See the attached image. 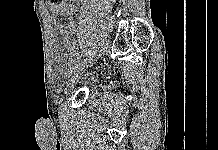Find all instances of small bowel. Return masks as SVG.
<instances>
[{"instance_id":"c3829d8e","label":"small bowel","mask_w":218,"mask_h":150,"mask_svg":"<svg viewBox=\"0 0 218 150\" xmlns=\"http://www.w3.org/2000/svg\"><path fill=\"white\" fill-rule=\"evenodd\" d=\"M80 0H61L58 4L50 6L51 26L55 35L74 37L76 32L70 23L60 25L57 21V16H65L71 19L74 11L77 9Z\"/></svg>"}]
</instances>
